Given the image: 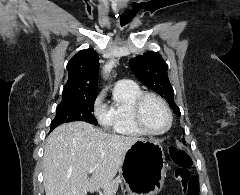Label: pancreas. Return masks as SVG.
<instances>
[{
	"label": "pancreas",
	"instance_id": "pancreas-1",
	"mask_svg": "<svg viewBox=\"0 0 240 195\" xmlns=\"http://www.w3.org/2000/svg\"><path fill=\"white\" fill-rule=\"evenodd\" d=\"M116 189H114V187H112V189H110V191H107V195H113V193H115Z\"/></svg>",
	"mask_w": 240,
	"mask_h": 195
}]
</instances>
